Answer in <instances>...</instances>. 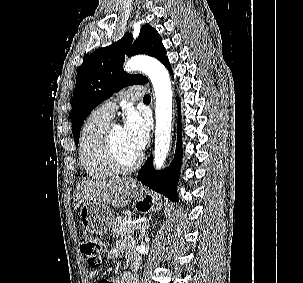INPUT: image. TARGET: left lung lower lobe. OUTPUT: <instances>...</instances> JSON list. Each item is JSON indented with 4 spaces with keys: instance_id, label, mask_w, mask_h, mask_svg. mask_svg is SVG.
<instances>
[{
    "instance_id": "obj_1",
    "label": "left lung lower lobe",
    "mask_w": 303,
    "mask_h": 283,
    "mask_svg": "<svg viewBox=\"0 0 303 283\" xmlns=\"http://www.w3.org/2000/svg\"><path fill=\"white\" fill-rule=\"evenodd\" d=\"M170 74H173L170 63L166 65ZM179 103V99L177 100ZM180 112L178 118V137L174 159L168 168L162 171H156L153 168V157H150L144 166L138 172L137 180L152 190L165 195L172 201L178 200L177 183L179 179V171L182 160V141H181V126Z\"/></svg>"
}]
</instances>
